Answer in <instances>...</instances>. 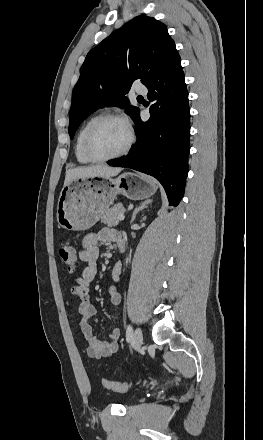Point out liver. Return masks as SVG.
Instances as JSON below:
<instances>
[{
    "label": "liver",
    "instance_id": "1",
    "mask_svg": "<svg viewBox=\"0 0 263 440\" xmlns=\"http://www.w3.org/2000/svg\"><path fill=\"white\" fill-rule=\"evenodd\" d=\"M121 170V168L110 167L103 164L69 169L66 171L64 185H67L71 180L77 178H111L118 175Z\"/></svg>",
    "mask_w": 263,
    "mask_h": 440
}]
</instances>
